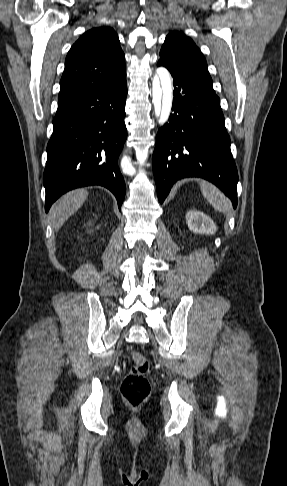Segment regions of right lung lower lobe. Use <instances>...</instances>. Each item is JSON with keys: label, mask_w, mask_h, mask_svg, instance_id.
Returning <instances> with one entry per match:
<instances>
[{"label": "right lung lower lobe", "mask_w": 287, "mask_h": 486, "mask_svg": "<svg viewBox=\"0 0 287 486\" xmlns=\"http://www.w3.org/2000/svg\"><path fill=\"white\" fill-rule=\"evenodd\" d=\"M126 96L125 78L58 106L43 175L46 212L65 192L88 185L108 188L121 208L126 188L118 157L127 138Z\"/></svg>", "instance_id": "1"}]
</instances>
